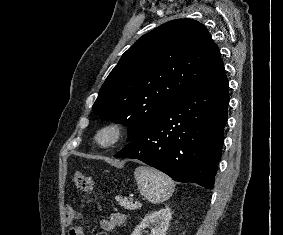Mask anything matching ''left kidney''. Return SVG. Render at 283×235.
<instances>
[{"label": "left kidney", "instance_id": "obj_1", "mask_svg": "<svg viewBox=\"0 0 283 235\" xmlns=\"http://www.w3.org/2000/svg\"><path fill=\"white\" fill-rule=\"evenodd\" d=\"M171 218L172 213L169 207L147 214L131 235H142L145 228L151 225V232L148 235H166Z\"/></svg>", "mask_w": 283, "mask_h": 235}]
</instances>
